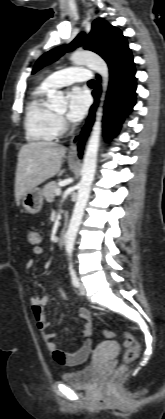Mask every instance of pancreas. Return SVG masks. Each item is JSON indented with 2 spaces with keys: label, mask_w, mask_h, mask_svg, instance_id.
Listing matches in <instances>:
<instances>
[{
  "label": "pancreas",
  "mask_w": 165,
  "mask_h": 419,
  "mask_svg": "<svg viewBox=\"0 0 165 419\" xmlns=\"http://www.w3.org/2000/svg\"><path fill=\"white\" fill-rule=\"evenodd\" d=\"M58 188H59V186L55 181L48 182L44 186V188L42 190V193H43V196L45 197V199L48 202H52L54 200V197L56 196L55 190L58 189Z\"/></svg>",
  "instance_id": "1"
}]
</instances>
